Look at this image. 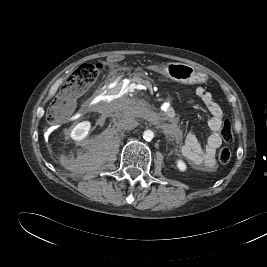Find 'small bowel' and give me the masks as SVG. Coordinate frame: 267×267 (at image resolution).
<instances>
[{
    "label": "small bowel",
    "mask_w": 267,
    "mask_h": 267,
    "mask_svg": "<svg viewBox=\"0 0 267 267\" xmlns=\"http://www.w3.org/2000/svg\"><path fill=\"white\" fill-rule=\"evenodd\" d=\"M195 95L210 114L208 125L211 134L205 145H202L193 133H189L181 147V153L193 166L205 170H213L216 166V151L222 145L219 130L223 124V111L206 88L202 86L197 87Z\"/></svg>",
    "instance_id": "c3829d8e"
}]
</instances>
